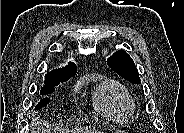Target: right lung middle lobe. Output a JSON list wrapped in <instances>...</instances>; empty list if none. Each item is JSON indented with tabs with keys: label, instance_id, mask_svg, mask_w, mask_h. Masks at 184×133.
Returning a JSON list of instances; mask_svg holds the SVG:
<instances>
[{
	"label": "right lung middle lobe",
	"instance_id": "1",
	"mask_svg": "<svg viewBox=\"0 0 184 133\" xmlns=\"http://www.w3.org/2000/svg\"><path fill=\"white\" fill-rule=\"evenodd\" d=\"M61 83H63V82H61ZM58 84L59 83H53V84H50L48 87L41 89V95L51 94L55 90V86H57ZM49 101H50L49 98L41 99V101L35 107V110H39L42 107L46 106L49 103Z\"/></svg>",
	"mask_w": 184,
	"mask_h": 133
}]
</instances>
